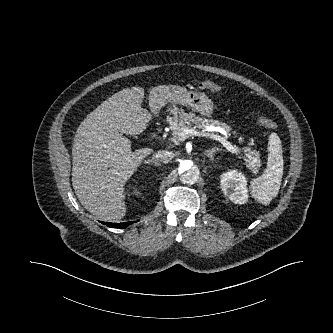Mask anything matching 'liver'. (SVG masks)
Listing matches in <instances>:
<instances>
[{
    "label": "liver",
    "instance_id": "1",
    "mask_svg": "<svg viewBox=\"0 0 333 333\" xmlns=\"http://www.w3.org/2000/svg\"><path fill=\"white\" fill-rule=\"evenodd\" d=\"M186 88L159 85L149 92V106L156 114ZM142 87L123 89L100 104L77 129L72 148V185L84 208L96 217L119 221L127 211L124 185L152 153L143 148L132 152L123 136L142 133L151 114L142 109Z\"/></svg>",
    "mask_w": 333,
    "mask_h": 333
}]
</instances>
